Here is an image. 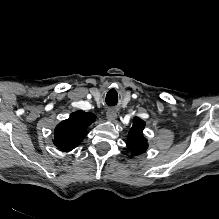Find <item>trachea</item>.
Listing matches in <instances>:
<instances>
[{"label": "trachea", "instance_id": "1", "mask_svg": "<svg viewBox=\"0 0 219 219\" xmlns=\"http://www.w3.org/2000/svg\"><path fill=\"white\" fill-rule=\"evenodd\" d=\"M111 91H115V90H111ZM111 91H109L107 96H106V104L108 106H115V105H117V102H118V95L116 94L114 96H111V94H110Z\"/></svg>", "mask_w": 219, "mask_h": 219}]
</instances>
